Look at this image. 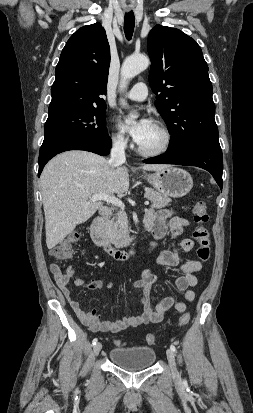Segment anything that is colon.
<instances>
[{"label": "colon", "instance_id": "obj_1", "mask_svg": "<svg viewBox=\"0 0 253 413\" xmlns=\"http://www.w3.org/2000/svg\"><path fill=\"white\" fill-rule=\"evenodd\" d=\"M194 221L197 224V228L194 231V238L198 242L197 256L203 262H208L211 256V242L210 234L207 228V223L209 221V214L207 211V205L205 201L198 200L193 207ZM79 234L77 232L70 233L63 240H61L57 245H55L51 250L50 254L58 260H67L71 257L72 247L78 241ZM190 320V315L184 313L178 320V325L180 327L188 324ZM156 340L155 335L148 334L146 336V341L148 344H154ZM120 343V342H118Z\"/></svg>", "mask_w": 253, "mask_h": 413}]
</instances>
